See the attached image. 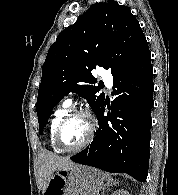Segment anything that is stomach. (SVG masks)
<instances>
[{
  "label": "stomach",
  "instance_id": "obj_1",
  "mask_svg": "<svg viewBox=\"0 0 178 195\" xmlns=\"http://www.w3.org/2000/svg\"><path fill=\"white\" fill-rule=\"evenodd\" d=\"M106 174L93 167L77 165L70 170H59L51 178L45 194L98 195L104 189Z\"/></svg>",
  "mask_w": 178,
  "mask_h": 195
}]
</instances>
